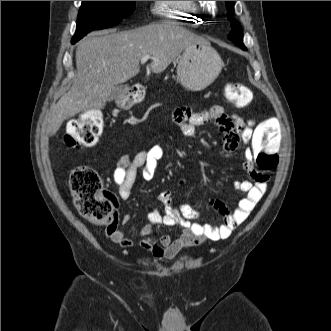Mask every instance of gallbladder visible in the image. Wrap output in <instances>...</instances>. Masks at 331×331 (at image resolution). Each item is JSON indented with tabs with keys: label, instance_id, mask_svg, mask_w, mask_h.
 <instances>
[{
	"label": "gallbladder",
	"instance_id": "obj_1",
	"mask_svg": "<svg viewBox=\"0 0 331 331\" xmlns=\"http://www.w3.org/2000/svg\"><path fill=\"white\" fill-rule=\"evenodd\" d=\"M125 92H126L125 85H115L112 88L110 95L108 96V101L122 98L125 95Z\"/></svg>",
	"mask_w": 331,
	"mask_h": 331
}]
</instances>
